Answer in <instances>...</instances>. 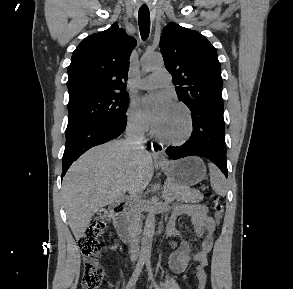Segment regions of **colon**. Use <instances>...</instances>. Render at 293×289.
<instances>
[{"instance_id": "1", "label": "colon", "mask_w": 293, "mask_h": 289, "mask_svg": "<svg viewBox=\"0 0 293 289\" xmlns=\"http://www.w3.org/2000/svg\"><path fill=\"white\" fill-rule=\"evenodd\" d=\"M212 206L215 221L220 223L224 208L221 199L216 195H212ZM108 218L109 214L105 211L93 218L89 222L85 234L79 239V247L84 259L82 289H98L105 279V269L99 262L102 249L100 236Z\"/></svg>"}]
</instances>
